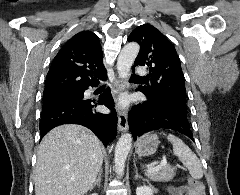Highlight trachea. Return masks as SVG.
<instances>
[{
	"label": "trachea",
	"instance_id": "trachea-1",
	"mask_svg": "<svg viewBox=\"0 0 240 195\" xmlns=\"http://www.w3.org/2000/svg\"><path fill=\"white\" fill-rule=\"evenodd\" d=\"M135 78L141 79V78H145V77H138V75H131V79H135Z\"/></svg>",
	"mask_w": 240,
	"mask_h": 195
}]
</instances>
